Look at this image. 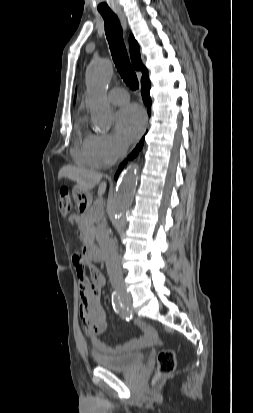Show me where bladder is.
I'll use <instances>...</instances> for the list:
<instances>
[{"mask_svg":"<svg viewBox=\"0 0 253 413\" xmlns=\"http://www.w3.org/2000/svg\"><path fill=\"white\" fill-rule=\"evenodd\" d=\"M145 355L142 352H130L119 355H96L97 365L112 371H128L144 363Z\"/></svg>","mask_w":253,"mask_h":413,"instance_id":"31cf9c89","label":"bladder"}]
</instances>
